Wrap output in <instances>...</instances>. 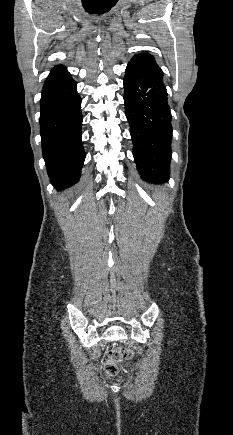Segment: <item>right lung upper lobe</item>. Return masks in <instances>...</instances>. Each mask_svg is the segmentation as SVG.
Segmentation results:
<instances>
[{
	"mask_svg": "<svg viewBox=\"0 0 233 435\" xmlns=\"http://www.w3.org/2000/svg\"><path fill=\"white\" fill-rule=\"evenodd\" d=\"M67 73H68V72H67L65 66H63V65L56 66V67H54V68L51 70V73H50V75L48 76V78H47L45 84L48 83V82H50V81H53V80H55V79H57V78H59V77H61V76H63V75H65V74H67Z\"/></svg>",
	"mask_w": 233,
	"mask_h": 435,
	"instance_id": "1",
	"label": "right lung upper lobe"
}]
</instances>
